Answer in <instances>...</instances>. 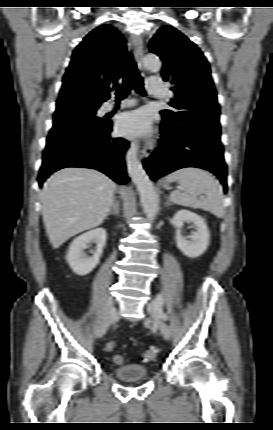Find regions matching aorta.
I'll list each match as a JSON object with an SVG mask.
<instances>
[{
    "label": "aorta",
    "instance_id": "762f6f07",
    "mask_svg": "<svg viewBox=\"0 0 273 430\" xmlns=\"http://www.w3.org/2000/svg\"><path fill=\"white\" fill-rule=\"evenodd\" d=\"M143 63L145 68L152 73H157L161 69L160 58L155 54L145 56ZM126 163L128 173L139 191L144 213L151 220L158 209V196L149 176L138 159V145L136 143L131 144L126 154Z\"/></svg>",
    "mask_w": 273,
    "mask_h": 430
}]
</instances>
